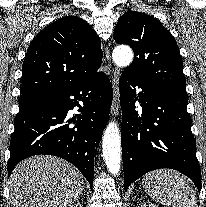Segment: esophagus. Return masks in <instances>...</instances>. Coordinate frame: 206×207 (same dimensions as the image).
Wrapping results in <instances>:
<instances>
[{
  "mask_svg": "<svg viewBox=\"0 0 206 207\" xmlns=\"http://www.w3.org/2000/svg\"><path fill=\"white\" fill-rule=\"evenodd\" d=\"M106 60L109 66H112L110 51L108 47L106 48ZM119 75H120L119 70L115 67H112L113 101L111 106V114L115 117L119 115V88H118Z\"/></svg>",
  "mask_w": 206,
  "mask_h": 207,
  "instance_id": "1",
  "label": "esophagus"
}]
</instances>
